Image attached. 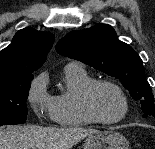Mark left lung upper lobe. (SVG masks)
Masks as SVG:
<instances>
[{
	"label": "left lung upper lobe",
	"mask_w": 155,
	"mask_h": 149,
	"mask_svg": "<svg viewBox=\"0 0 155 149\" xmlns=\"http://www.w3.org/2000/svg\"><path fill=\"white\" fill-rule=\"evenodd\" d=\"M56 51L119 79L140 102L143 117L155 118L153 94L142 60L128 44L118 40L111 26L98 24L72 31L59 40Z\"/></svg>",
	"instance_id": "5c2ea615"
}]
</instances>
